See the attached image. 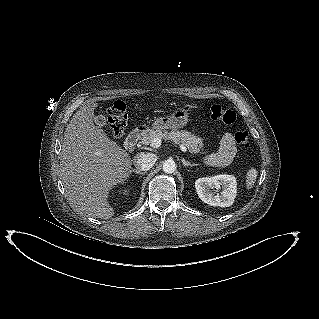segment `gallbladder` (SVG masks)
<instances>
[{
    "mask_svg": "<svg viewBox=\"0 0 319 319\" xmlns=\"http://www.w3.org/2000/svg\"><path fill=\"white\" fill-rule=\"evenodd\" d=\"M94 122L100 127H103V126H105L107 124L106 118L104 116H102V115L96 116L94 118Z\"/></svg>",
    "mask_w": 319,
    "mask_h": 319,
    "instance_id": "bac80fb5",
    "label": "gallbladder"
}]
</instances>
